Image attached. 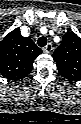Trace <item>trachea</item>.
I'll return each instance as SVG.
<instances>
[{"label": "trachea", "instance_id": "3493384b", "mask_svg": "<svg viewBox=\"0 0 81 124\" xmlns=\"http://www.w3.org/2000/svg\"><path fill=\"white\" fill-rule=\"evenodd\" d=\"M37 43L40 47H44L47 44V38L42 36V37L38 38Z\"/></svg>", "mask_w": 81, "mask_h": 124}]
</instances>
